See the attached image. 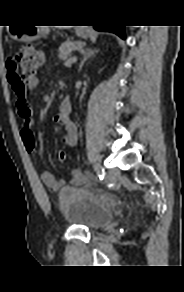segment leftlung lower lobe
Segmentation results:
<instances>
[{
  "label": "left lung lower lobe",
  "instance_id": "1",
  "mask_svg": "<svg viewBox=\"0 0 184 292\" xmlns=\"http://www.w3.org/2000/svg\"><path fill=\"white\" fill-rule=\"evenodd\" d=\"M94 28L98 31H109L116 33L122 38H125L124 26H110V25H94Z\"/></svg>",
  "mask_w": 184,
  "mask_h": 292
}]
</instances>
